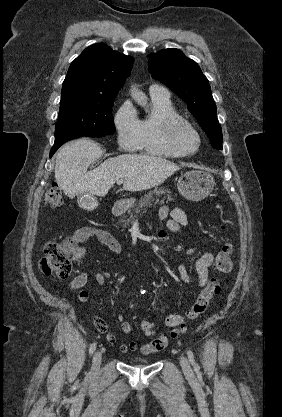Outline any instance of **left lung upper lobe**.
Segmentation results:
<instances>
[{"label": "left lung upper lobe", "instance_id": "obj_1", "mask_svg": "<svg viewBox=\"0 0 282 417\" xmlns=\"http://www.w3.org/2000/svg\"><path fill=\"white\" fill-rule=\"evenodd\" d=\"M148 57L152 77L167 85L184 102L210 139L212 147L222 150V131L207 78L196 62L182 51L164 49Z\"/></svg>", "mask_w": 282, "mask_h": 417}]
</instances>
